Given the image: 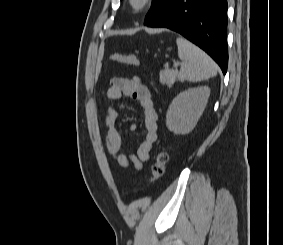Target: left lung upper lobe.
I'll return each mask as SVG.
<instances>
[{"mask_svg": "<svg viewBox=\"0 0 283 245\" xmlns=\"http://www.w3.org/2000/svg\"><path fill=\"white\" fill-rule=\"evenodd\" d=\"M173 0H153L151 9L149 10L144 24H148L157 16H159L172 2Z\"/></svg>", "mask_w": 283, "mask_h": 245, "instance_id": "left-lung-upper-lobe-1", "label": "left lung upper lobe"}]
</instances>
